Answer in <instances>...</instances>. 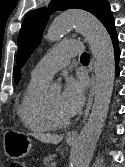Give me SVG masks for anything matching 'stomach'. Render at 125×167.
Masks as SVG:
<instances>
[{
  "mask_svg": "<svg viewBox=\"0 0 125 167\" xmlns=\"http://www.w3.org/2000/svg\"><path fill=\"white\" fill-rule=\"evenodd\" d=\"M71 144V143H69ZM32 140L22 132L9 131L4 138V150L10 158H23L30 154Z\"/></svg>",
  "mask_w": 125,
  "mask_h": 167,
  "instance_id": "1",
  "label": "stomach"
}]
</instances>
